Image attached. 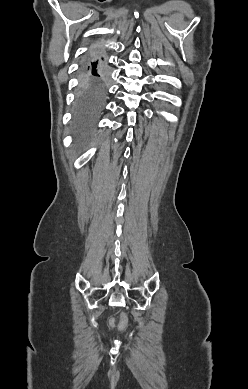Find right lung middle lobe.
Masks as SVG:
<instances>
[{
    "mask_svg": "<svg viewBox=\"0 0 248 389\" xmlns=\"http://www.w3.org/2000/svg\"><path fill=\"white\" fill-rule=\"evenodd\" d=\"M109 71L104 63L86 59L81 66V84L75 108L78 129L87 132L102 112L107 95Z\"/></svg>",
    "mask_w": 248,
    "mask_h": 389,
    "instance_id": "1",
    "label": "right lung middle lobe"
}]
</instances>
